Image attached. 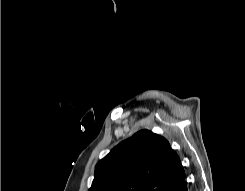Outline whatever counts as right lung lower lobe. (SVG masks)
<instances>
[{
  "label": "right lung lower lobe",
  "instance_id": "1",
  "mask_svg": "<svg viewBox=\"0 0 245 191\" xmlns=\"http://www.w3.org/2000/svg\"><path fill=\"white\" fill-rule=\"evenodd\" d=\"M168 191H188L185 179L168 189Z\"/></svg>",
  "mask_w": 245,
  "mask_h": 191
}]
</instances>
